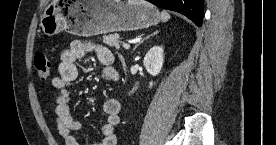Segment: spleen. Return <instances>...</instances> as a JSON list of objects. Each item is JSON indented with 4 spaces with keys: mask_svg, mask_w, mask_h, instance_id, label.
I'll use <instances>...</instances> for the list:
<instances>
[{
    "mask_svg": "<svg viewBox=\"0 0 276 145\" xmlns=\"http://www.w3.org/2000/svg\"><path fill=\"white\" fill-rule=\"evenodd\" d=\"M170 19V15L166 11L161 12V20L163 22H166Z\"/></svg>",
    "mask_w": 276,
    "mask_h": 145,
    "instance_id": "3e777b00",
    "label": "spleen"
}]
</instances>
